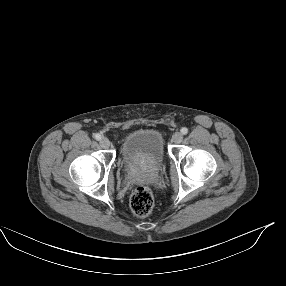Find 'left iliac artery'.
<instances>
[{
  "label": "left iliac artery",
  "mask_w": 286,
  "mask_h": 286,
  "mask_svg": "<svg viewBox=\"0 0 286 286\" xmlns=\"http://www.w3.org/2000/svg\"><path fill=\"white\" fill-rule=\"evenodd\" d=\"M181 133L184 134V135L187 134L188 133V129L186 127H183L181 129Z\"/></svg>",
  "instance_id": "1"
}]
</instances>
